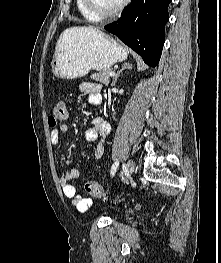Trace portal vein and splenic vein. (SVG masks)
<instances>
[{
	"label": "portal vein and splenic vein",
	"instance_id": "portal-vein-and-splenic-vein-1",
	"mask_svg": "<svg viewBox=\"0 0 221 263\" xmlns=\"http://www.w3.org/2000/svg\"><path fill=\"white\" fill-rule=\"evenodd\" d=\"M110 77H113L115 76V72L114 71H111L110 74H109Z\"/></svg>",
	"mask_w": 221,
	"mask_h": 263
}]
</instances>
